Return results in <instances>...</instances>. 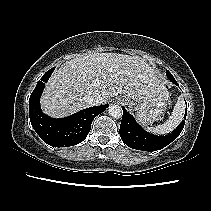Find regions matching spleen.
<instances>
[{
    "mask_svg": "<svg viewBox=\"0 0 211 211\" xmlns=\"http://www.w3.org/2000/svg\"><path fill=\"white\" fill-rule=\"evenodd\" d=\"M185 112V103L182 98H178L177 103L174 106L172 115L164 123L157 125L156 127H148V131L155 134H167L173 131L182 121Z\"/></svg>",
    "mask_w": 211,
    "mask_h": 211,
    "instance_id": "obj_1",
    "label": "spleen"
}]
</instances>
